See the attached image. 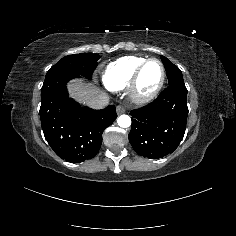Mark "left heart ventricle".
I'll use <instances>...</instances> for the list:
<instances>
[{
  "mask_svg": "<svg viewBox=\"0 0 236 236\" xmlns=\"http://www.w3.org/2000/svg\"><path fill=\"white\" fill-rule=\"evenodd\" d=\"M162 77V67L158 62H150L143 70L139 82L138 91L147 95L154 91Z\"/></svg>",
  "mask_w": 236,
  "mask_h": 236,
  "instance_id": "1",
  "label": "left heart ventricle"
}]
</instances>
